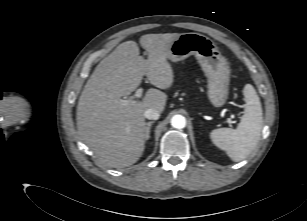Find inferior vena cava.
Listing matches in <instances>:
<instances>
[{
	"mask_svg": "<svg viewBox=\"0 0 307 221\" xmlns=\"http://www.w3.org/2000/svg\"><path fill=\"white\" fill-rule=\"evenodd\" d=\"M144 117L149 120H157L160 117V111L155 108H149L144 112Z\"/></svg>",
	"mask_w": 307,
	"mask_h": 221,
	"instance_id": "inferior-vena-cava-1",
	"label": "inferior vena cava"
}]
</instances>
